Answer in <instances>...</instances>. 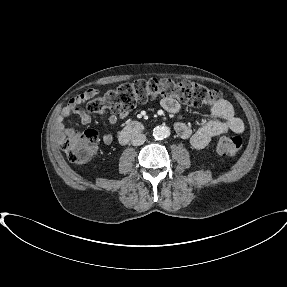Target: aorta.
I'll return each mask as SVG.
<instances>
[{
  "mask_svg": "<svg viewBox=\"0 0 287 287\" xmlns=\"http://www.w3.org/2000/svg\"><path fill=\"white\" fill-rule=\"evenodd\" d=\"M170 130L167 126H156L153 129V137L157 140H162L168 137Z\"/></svg>",
  "mask_w": 287,
  "mask_h": 287,
  "instance_id": "1",
  "label": "aorta"
}]
</instances>
